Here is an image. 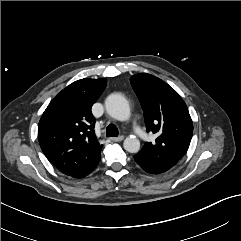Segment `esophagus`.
I'll return each instance as SVG.
<instances>
[{"label":"esophagus","instance_id":"esophagus-1","mask_svg":"<svg viewBox=\"0 0 241 241\" xmlns=\"http://www.w3.org/2000/svg\"><path fill=\"white\" fill-rule=\"evenodd\" d=\"M124 139V136H118V137H112L111 140L113 142H119L122 141Z\"/></svg>","mask_w":241,"mask_h":241}]
</instances>
